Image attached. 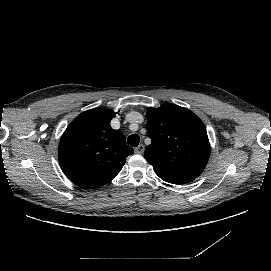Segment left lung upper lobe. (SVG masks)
Returning <instances> with one entry per match:
<instances>
[{
	"mask_svg": "<svg viewBox=\"0 0 271 271\" xmlns=\"http://www.w3.org/2000/svg\"><path fill=\"white\" fill-rule=\"evenodd\" d=\"M146 117L152 142L144 155L154 170L199 176L210 156L206 128L199 117L169 103L148 108Z\"/></svg>",
	"mask_w": 271,
	"mask_h": 271,
	"instance_id": "left-lung-upper-lobe-1",
	"label": "left lung upper lobe"
}]
</instances>
